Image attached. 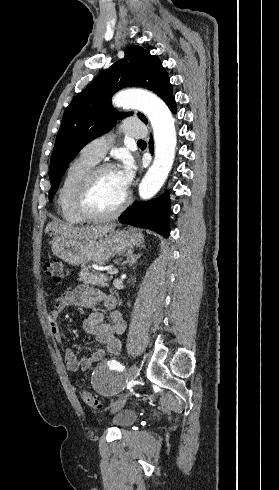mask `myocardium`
Wrapping results in <instances>:
<instances>
[{"instance_id": "obj_1", "label": "myocardium", "mask_w": 279, "mask_h": 490, "mask_svg": "<svg viewBox=\"0 0 279 490\" xmlns=\"http://www.w3.org/2000/svg\"><path fill=\"white\" fill-rule=\"evenodd\" d=\"M114 170L109 164H101L91 168L83 177L80 189L77 194V208L80 214L91 221H109L119 217L130 203V195L126 194L125 199L118 207L108 213H102L93 206V194L99 176L107 171Z\"/></svg>"}]
</instances>
